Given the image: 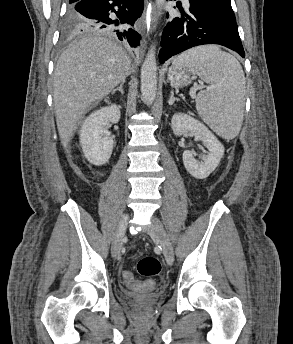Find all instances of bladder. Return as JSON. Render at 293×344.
I'll return each mask as SVG.
<instances>
[{
  "label": "bladder",
  "mask_w": 293,
  "mask_h": 344,
  "mask_svg": "<svg viewBox=\"0 0 293 344\" xmlns=\"http://www.w3.org/2000/svg\"><path fill=\"white\" fill-rule=\"evenodd\" d=\"M125 296L130 300L140 301L144 303H155L160 298V295L158 294L139 295L131 291L125 292Z\"/></svg>",
  "instance_id": "1"
}]
</instances>
